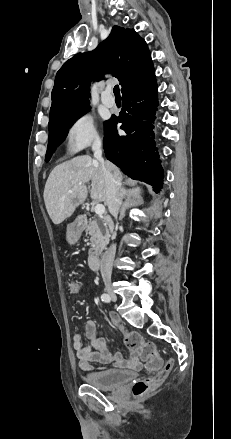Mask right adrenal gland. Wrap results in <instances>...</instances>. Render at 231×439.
<instances>
[{"label":"right adrenal gland","mask_w":231,"mask_h":439,"mask_svg":"<svg viewBox=\"0 0 231 439\" xmlns=\"http://www.w3.org/2000/svg\"><path fill=\"white\" fill-rule=\"evenodd\" d=\"M142 203L143 200L141 198H134L131 194H128L124 202L121 204L119 220H122L124 218L126 209L133 206H138Z\"/></svg>","instance_id":"1"}]
</instances>
